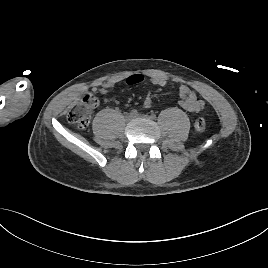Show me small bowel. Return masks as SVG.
<instances>
[{
  "instance_id": "1",
  "label": "small bowel",
  "mask_w": 268,
  "mask_h": 268,
  "mask_svg": "<svg viewBox=\"0 0 268 268\" xmlns=\"http://www.w3.org/2000/svg\"><path fill=\"white\" fill-rule=\"evenodd\" d=\"M144 76L142 74H133L126 79L128 85H136L143 82ZM150 82L159 87L166 85V79L162 76L154 75L149 78ZM114 88V83L107 82L100 86V93H107ZM179 106L189 112L198 113L204 108V101L198 99L197 93L194 89L190 88L187 85H180L179 87ZM152 105V98L146 96L143 101V106L149 108Z\"/></svg>"
}]
</instances>
